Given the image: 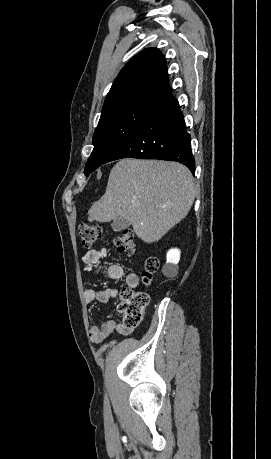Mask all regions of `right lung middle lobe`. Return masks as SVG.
<instances>
[{
  "instance_id": "1",
  "label": "right lung middle lobe",
  "mask_w": 271,
  "mask_h": 459,
  "mask_svg": "<svg viewBox=\"0 0 271 459\" xmlns=\"http://www.w3.org/2000/svg\"><path fill=\"white\" fill-rule=\"evenodd\" d=\"M156 114L145 109H132L101 117L93 135L94 149L86 163L84 173L87 175L106 163L108 157L126 139Z\"/></svg>"
}]
</instances>
